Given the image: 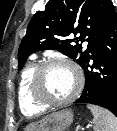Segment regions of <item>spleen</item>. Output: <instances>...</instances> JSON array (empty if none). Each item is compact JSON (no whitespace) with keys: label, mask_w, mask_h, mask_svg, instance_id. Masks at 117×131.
Segmentation results:
<instances>
[{"label":"spleen","mask_w":117,"mask_h":131,"mask_svg":"<svg viewBox=\"0 0 117 131\" xmlns=\"http://www.w3.org/2000/svg\"><path fill=\"white\" fill-rule=\"evenodd\" d=\"M93 114L94 131H117V117L109 110L95 105H87Z\"/></svg>","instance_id":"1"}]
</instances>
